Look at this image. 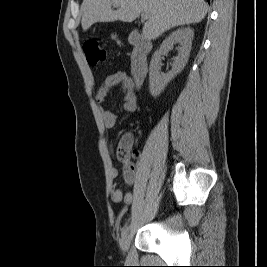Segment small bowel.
<instances>
[{
	"label": "small bowel",
	"instance_id": "obj_1",
	"mask_svg": "<svg viewBox=\"0 0 267 267\" xmlns=\"http://www.w3.org/2000/svg\"><path fill=\"white\" fill-rule=\"evenodd\" d=\"M119 85L123 92V109L126 112H134L137 109V97L135 94V82L125 72L118 71L107 76L103 84L99 87L96 92L95 98L99 103H103L110 92V90ZM103 124L106 129H112L115 127L117 122V115L109 110H106L102 114ZM110 153H113V148L110 145ZM111 177L116 179L119 172L116 168H111ZM123 178L127 185L132 186L136 182V168L132 162H125L123 167ZM111 199L115 203L124 202L130 204L133 196L130 192L124 193L120 188L114 187L111 191Z\"/></svg>",
	"mask_w": 267,
	"mask_h": 267
}]
</instances>
